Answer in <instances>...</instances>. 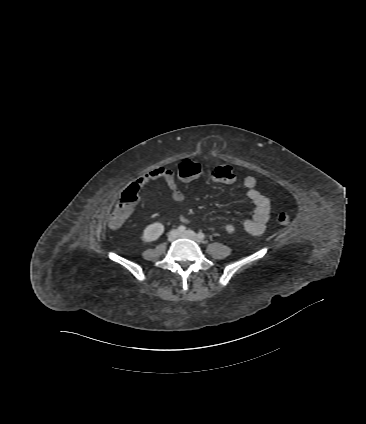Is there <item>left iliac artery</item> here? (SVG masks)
<instances>
[{
  "label": "left iliac artery",
  "instance_id": "44dca946",
  "mask_svg": "<svg viewBox=\"0 0 366 424\" xmlns=\"http://www.w3.org/2000/svg\"><path fill=\"white\" fill-rule=\"evenodd\" d=\"M197 236H198V238H199L200 240H203V239L205 238V235H204V233H202V232H199V233L197 234Z\"/></svg>",
  "mask_w": 366,
  "mask_h": 424
}]
</instances>
